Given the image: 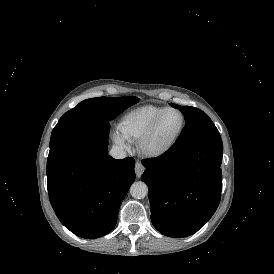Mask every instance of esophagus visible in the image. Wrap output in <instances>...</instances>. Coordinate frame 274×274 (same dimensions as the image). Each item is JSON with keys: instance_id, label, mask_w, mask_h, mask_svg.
<instances>
[{"instance_id": "esophagus-1", "label": "esophagus", "mask_w": 274, "mask_h": 274, "mask_svg": "<svg viewBox=\"0 0 274 274\" xmlns=\"http://www.w3.org/2000/svg\"><path fill=\"white\" fill-rule=\"evenodd\" d=\"M145 168L143 167V165L139 162H137L135 164V172L137 177H140L142 175V173L144 172Z\"/></svg>"}]
</instances>
